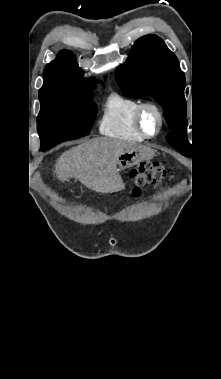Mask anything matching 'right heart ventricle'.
I'll use <instances>...</instances> for the list:
<instances>
[{
	"instance_id": "1",
	"label": "right heart ventricle",
	"mask_w": 221,
	"mask_h": 379,
	"mask_svg": "<svg viewBox=\"0 0 221 379\" xmlns=\"http://www.w3.org/2000/svg\"><path fill=\"white\" fill-rule=\"evenodd\" d=\"M142 102L120 94L108 97L100 121V132L106 136L141 141L144 137L137 130L135 113Z\"/></svg>"
}]
</instances>
